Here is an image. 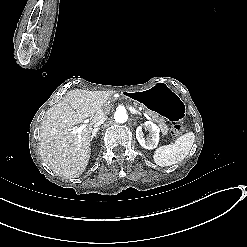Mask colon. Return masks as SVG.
I'll list each match as a JSON object with an SVG mask.
<instances>
[{
	"mask_svg": "<svg viewBox=\"0 0 247 247\" xmlns=\"http://www.w3.org/2000/svg\"><path fill=\"white\" fill-rule=\"evenodd\" d=\"M183 131V127L180 124H174L170 130V135L172 137L179 136Z\"/></svg>",
	"mask_w": 247,
	"mask_h": 247,
	"instance_id": "obj_1",
	"label": "colon"
}]
</instances>
